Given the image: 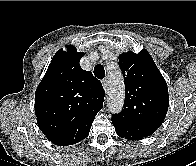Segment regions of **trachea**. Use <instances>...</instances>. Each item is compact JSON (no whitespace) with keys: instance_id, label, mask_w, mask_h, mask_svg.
<instances>
[{"instance_id":"trachea-1","label":"trachea","mask_w":196,"mask_h":166,"mask_svg":"<svg viewBox=\"0 0 196 166\" xmlns=\"http://www.w3.org/2000/svg\"><path fill=\"white\" fill-rule=\"evenodd\" d=\"M94 75L98 78V79H102L105 76V70L104 67L102 65H97L94 68Z\"/></svg>"}]
</instances>
